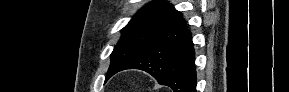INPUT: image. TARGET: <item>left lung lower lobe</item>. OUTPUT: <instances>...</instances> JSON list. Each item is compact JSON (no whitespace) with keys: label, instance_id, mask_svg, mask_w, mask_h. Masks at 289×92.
<instances>
[{"label":"left lung lower lobe","instance_id":"left-lung-lower-lobe-1","mask_svg":"<svg viewBox=\"0 0 289 92\" xmlns=\"http://www.w3.org/2000/svg\"><path fill=\"white\" fill-rule=\"evenodd\" d=\"M195 52L191 32L182 18L166 29L142 53L115 73L140 69L174 92H196ZM109 77V78H110Z\"/></svg>","mask_w":289,"mask_h":92}]
</instances>
